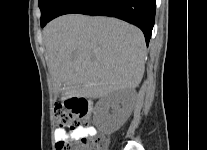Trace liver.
<instances>
[{
    "label": "liver",
    "mask_w": 207,
    "mask_h": 150,
    "mask_svg": "<svg viewBox=\"0 0 207 150\" xmlns=\"http://www.w3.org/2000/svg\"><path fill=\"white\" fill-rule=\"evenodd\" d=\"M44 44L54 91L63 98H103L142 80L144 35L124 21L64 15L46 26Z\"/></svg>",
    "instance_id": "1"
}]
</instances>
